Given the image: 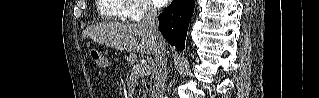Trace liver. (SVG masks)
Returning <instances> with one entry per match:
<instances>
[{
    "label": "liver",
    "instance_id": "obj_1",
    "mask_svg": "<svg viewBox=\"0 0 319 98\" xmlns=\"http://www.w3.org/2000/svg\"><path fill=\"white\" fill-rule=\"evenodd\" d=\"M83 36L90 37L99 44L137 52L141 55H154L156 49L155 40L142 23L105 22L95 24L88 26L83 31Z\"/></svg>",
    "mask_w": 319,
    "mask_h": 98
}]
</instances>
